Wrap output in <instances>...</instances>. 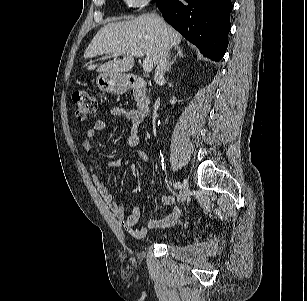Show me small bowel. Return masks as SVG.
I'll use <instances>...</instances> for the list:
<instances>
[{"label": "small bowel", "mask_w": 307, "mask_h": 301, "mask_svg": "<svg viewBox=\"0 0 307 301\" xmlns=\"http://www.w3.org/2000/svg\"><path fill=\"white\" fill-rule=\"evenodd\" d=\"M111 113L119 118L130 121V135L129 145L132 152L144 163L148 162L146 154L136 149L139 143V128L143 122L142 115L137 110H131L123 107H113ZM108 124L105 120H96L93 127L88 129L87 137L82 142V148L85 152L93 151V140L101 132L106 131ZM121 165L120 159H111L106 161V166L110 168H117ZM88 172L91 176L92 182L96 186L101 197L107 203L110 211L114 217L120 222L123 229L134 239H142L147 234L148 230L161 229L175 224L180 216V211L174 208L172 212L162 219H150L143 227H137L136 224L140 219V210L138 207H133L128 214L125 213L124 208L114 199L112 192L108 189L104 179L97 172L94 164L88 165ZM175 197L173 195H163L159 199V203L163 206L173 205Z\"/></svg>", "instance_id": "small-bowel-1"}]
</instances>
